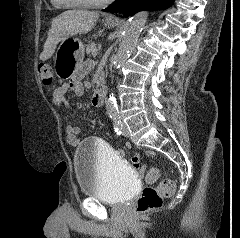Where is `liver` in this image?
I'll return each mask as SVG.
<instances>
[{
	"label": "liver",
	"mask_w": 240,
	"mask_h": 238,
	"mask_svg": "<svg viewBox=\"0 0 240 238\" xmlns=\"http://www.w3.org/2000/svg\"><path fill=\"white\" fill-rule=\"evenodd\" d=\"M98 18V12L84 10H68L57 16L52 21L40 60L50 58L57 44L65 38L91 31Z\"/></svg>",
	"instance_id": "6515ba94"
}]
</instances>
